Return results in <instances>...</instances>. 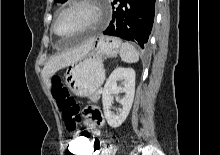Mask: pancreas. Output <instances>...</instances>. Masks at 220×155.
Instances as JSON below:
<instances>
[{
    "mask_svg": "<svg viewBox=\"0 0 220 155\" xmlns=\"http://www.w3.org/2000/svg\"><path fill=\"white\" fill-rule=\"evenodd\" d=\"M99 99H100V94L98 92L90 97V100L93 103H97L99 101Z\"/></svg>",
    "mask_w": 220,
    "mask_h": 155,
    "instance_id": "1",
    "label": "pancreas"
}]
</instances>
